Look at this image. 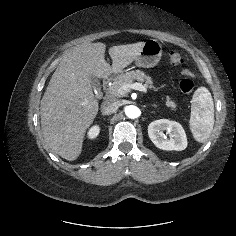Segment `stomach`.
Returning a JSON list of instances; mask_svg holds the SVG:
<instances>
[{"label": "stomach", "mask_w": 236, "mask_h": 236, "mask_svg": "<svg viewBox=\"0 0 236 236\" xmlns=\"http://www.w3.org/2000/svg\"><path fill=\"white\" fill-rule=\"evenodd\" d=\"M162 56V46L155 40L146 41L140 54L135 58V64L138 67L152 68L158 64Z\"/></svg>", "instance_id": "0dacf381"}]
</instances>
